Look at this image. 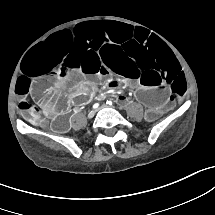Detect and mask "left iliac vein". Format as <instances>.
Wrapping results in <instances>:
<instances>
[{
	"label": "left iliac vein",
	"mask_w": 215,
	"mask_h": 215,
	"mask_svg": "<svg viewBox=\"0 0 215 215\" xmlns=\"http://www.w3.org/2000/svg\"><path fill=\"white\" fill-rule=\"evenodd\" d=\"M103 108H107V106L104 105V106L101 107V109H103ZM98 110H99V109H97V111H98Z\"/></svg>",
	"instance_id": "obj_1"
}]
</instances>
